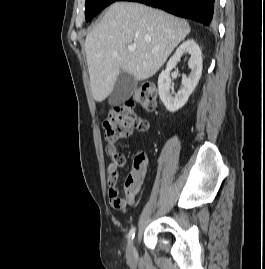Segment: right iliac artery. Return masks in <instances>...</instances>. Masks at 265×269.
Listing matches in <instances>:
<instances>
[{"label":"right iliac artery","instance_id":"right-iliac-artery-1","mask_svg":"<svg viewBox=\"0 0 265 269\" xmlns=\"http://www.w3.org/2000/svg\"><path fill=\"white\" fill-rule=\"evenodd\" d=\"M135 230H136V228L134 227V228H132V229L129 231V234H128V240H129V242H130L131 240H133V238H134V236H135Z\"/></svg>","mask_w":265,"mask_h":269}]
</instances>
